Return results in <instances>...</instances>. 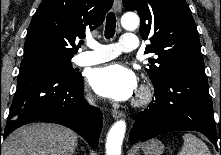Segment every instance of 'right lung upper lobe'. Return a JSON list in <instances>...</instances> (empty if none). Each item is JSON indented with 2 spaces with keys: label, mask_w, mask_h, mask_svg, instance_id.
Returning <instances> with one entry per match:
<instances>
[{
  "label": "right lung upper lobe",
  "mask_w": 221,
  "mask_h": 155,
  "mask_svg": "<svg viewBox=\"0 0 221 155\" xmlns=\"http://www.w3.org/2000/svg\"><path fill=\"white\" fill-rule=\"evenodd\" d=\"M113 0H43L29 25L24 56L56 54L73 57L78 38L100 26Z\"/></svg>",
  "instance_id": "1"
}]
</instances>
